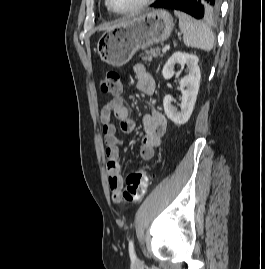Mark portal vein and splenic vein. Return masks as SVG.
<instances>
[{
    "label": "portal vein and splenic vein",
    "mask_w": 265,
    "mask_h": 269,
    "mask_svg": "<svg viewBox=\"0 0 265 269\" xmlns=\"http://www.w3.org/2000/svg\"><path fill=\"white\" fill-rule=\"evenodd\" d=\"M170 49L169 45H166L165 47L162 48V52H167Z\"/></svg>",
    "instance_id": "obj_1"
}]
</instances>
